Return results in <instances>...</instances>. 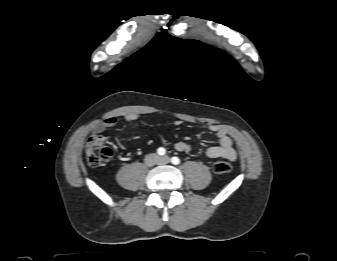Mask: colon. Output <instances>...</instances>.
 Returning a JSON list of instances; mask_svg holds the SVG:
<instances>
[{"label":"colon","mask_w":337,"mask_h":261,"mask_svg":"<svg viewBox=\"0 0 337 261\" xmlns=\"http://www.w3.org/2000/svg\"><path fill=\"white\" fill-rule=\"evenodd\" d=\"M113 155L112 149L107 144L104 135H92L86 145V159L90 166L96 167L107 162ZM231 170L230 162L223 158L213 164L216 174H225Z\"/></svg>","instance_id":"5ec220e1"}]
</instances>
